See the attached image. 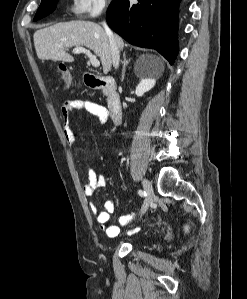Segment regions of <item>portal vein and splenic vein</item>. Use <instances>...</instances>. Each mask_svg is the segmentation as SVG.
Here are the masks:
<instances>
[{
    "instance_id": "obj_1",
    "label": "portal vein and splenic vein",
    "mask_w": 247,
    "mask_h": 299,
    "mask_svg": "<svg viewBox=\"0 0 247 299\" xmlns=\"http://www.w3.org/2000/svg\"><path fill=\"white\" fill-rule=\"evenodd\" d=\"M73 53H84L88 56L91 64L93 67H99L100 66V62L99 60L96 58L95 55H93L89 50L85 49L84 47H76L73 49Z\"/></svg>"
}]
</instances>
